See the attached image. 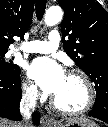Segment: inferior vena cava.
I'll list each match as a JSON object with an SVG mask.
<instances>
[{
    "label": "inferior vena cava",
    "mask_w": 108,
    "mask_h": 127,
    "mask_svg": "<svg viewBox=\"0 0 108 127\" xmlns=\"http://www.w3.org/2000/svg\"><path fill=\"white\" fill-rule=\"evenodd\" d=\"M37 89L29 88L23 94L20 102V113L23 117L22 127H31L30 118L31 111L34 110L36 105Z\"/></svg>",
    "instance_id": "602c4592"
}]
</instances>
